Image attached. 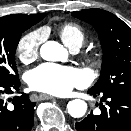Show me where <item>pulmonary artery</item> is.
I'll return each mask as SVG.
<instances>
[{
    "instance_id": "pulmonary-artery-1",
    "label": "pulmonary artery",
    "mask_w": 131,
    "mask_h": 131,
    "mask_svg": "<svg viewBox=\"0 0 131 131\" xmlns=\"http://www.w3.org/2000/svg\"><path fill=\"white\" fill-rule=\"evenodd\" d=\"M79 48H73L72 51L73 52H77Z\"/></svg>"
}]
</instances>
